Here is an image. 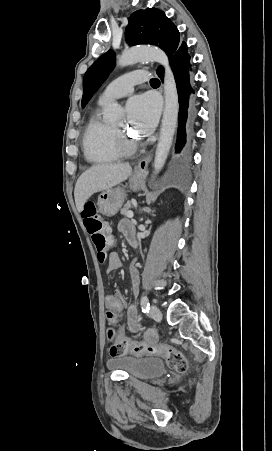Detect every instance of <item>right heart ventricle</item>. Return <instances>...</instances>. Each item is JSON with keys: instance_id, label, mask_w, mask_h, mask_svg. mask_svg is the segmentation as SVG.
I'll return each mask as SVG.
<instances>
[{"instance_id": "right-heart-ventricle-1", "label": "right heart ventricle", "mask_w": 272, "mask_h": 451, "mask_svg": "<svg viewBox=\"0 0 272 451\" xmlns=\"http://www.w3.org/2000/svg\"><path fill=\"white\" fill-rule=\"evenodd\" d=\"M108 100L101 104L109 103ZM112 127L100 119L96 113L90 120L84 135V151L86 158L95 163L111 161L116 148L111 138Z\"/></svg>"}]
</instances>
